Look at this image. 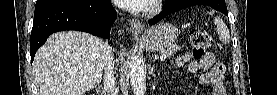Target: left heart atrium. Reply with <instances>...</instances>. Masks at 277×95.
<instances>
[{"instance_id":"39dd6f15","label":"left heart atrium","mask_w":277,"mask_h":95,"mask_svg":"<svg viewBox=\"0 0 277 95\" xmlns=\"http://www.w3.org/2000/svg\"><path fill=\"white\" fill-rule=\"evenodd\" d=\"M118 4L132 11H141L145 9L150 0H118Z\"/></svg>"}]
</instances>
